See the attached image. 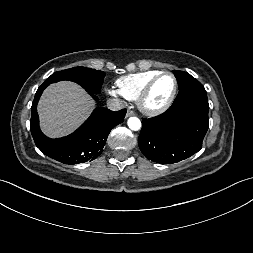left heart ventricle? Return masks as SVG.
<instances>
[{"label":"left heart ventricle","instance_id":"b2bd125f","mask_svg":"<svg viewBox=\"0 0 253 253\" xmlns=\"http://www.w3.org/2000/svg\"><path fill=\"white\" fill-rule=\"evenodd\" d=\"M173 79L172 77L165 75L162 76L154 85L151 94L147 100V104L150 107L161 106L170 96L173 90Z\"/></svg>","mask_w":253,"mask_h":253}]
</instances>
